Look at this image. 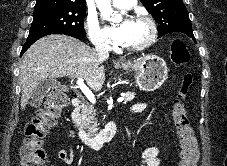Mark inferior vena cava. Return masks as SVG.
<instances>
[{
	"instance_id": "602c4592",
	"label": "inferior vena cava",
	"mask_w": 227,
	"mask_h": 166,
	"mask_svg": "<svg viewBox=\"0 0 227 166\" xmlns=\"http://www.w3.org/2000/svg\"><path fill=\"white\" fill-rule=\"evenodd\" d=\"M95 50L100 62L105 61L109 57V49L107 44L102 39H96L94 41Z\"/></svg>"
}]
</instances>
